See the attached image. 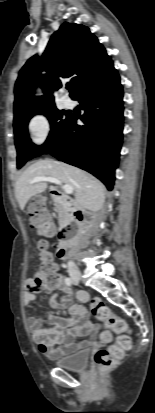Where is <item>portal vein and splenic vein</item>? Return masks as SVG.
<instances>
[{
	"label": "portal vein and splenic vein",
	"instance_id": "18ae733b",
	"mask_svg": "<svg viewBox=\"0 0 155 413\" xmlns=\"http://www.w3.org/2000/svg\"><path fill=\"white\" fill-rule=\"evenodd\" d=\"M41 181H46V182H51V183H54V184H57V185H62L61 181H59L56 178L49 177V176L36 177L31 181V183H38V182H41ZM62 189L67 194H72L73 193V187L71 185L65 184V185L62 186Z\"/></svg>",
	"mask_w": 155,
	"mask_h": 413
}]
</instances>
